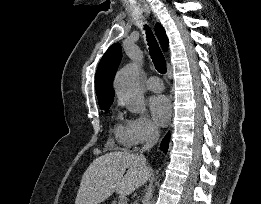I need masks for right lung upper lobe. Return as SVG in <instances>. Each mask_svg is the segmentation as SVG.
Here are the masks:
<instances>
[{"instance_id":"cb5924a9","label":"right lung upper lobe","mask_w":261,"mask_h":204,"mask_svg":"<svg viewBox=\"0 0 261 204\" xmlns=\"http://www.w3.org/2000/svg\"><path fill=\"white\" fill-rule=\"evenodd\" d=\"M156 34L164 51L168 49V38L164 28L157 23L155 27ZM122 57L121 45L119 43L113 44L103 55L95 76L96 94L100 104L113 102V80L115 73L120 64Z\"/></svg>"}]
</instances>
